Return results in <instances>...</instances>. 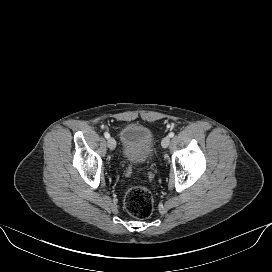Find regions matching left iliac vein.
<instances>
[{"label":"left iliac vein","instance_id":"1","mask_svg":"<svg viewBox=\"0 0 272 272\" xmlns=\"http://www.w3.org/2000/svg\"><path fill=\"white\" fill-rule=\"evenodd\" d=\"M170 144V138L169 137H164L162 139L161 145L163 148H167Z\"/></svg>","mask_w":272,"mask_h":272}]
</instances>
